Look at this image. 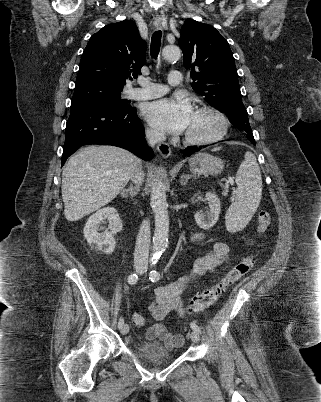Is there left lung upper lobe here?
<instances>
[{
	"label": "left lung upper lobe",
	"mask_w": 321,
	"mask_h": 402,
	"mask_svg": "<svg viewBox=\"0 0 321 402\" xmlns=\"http://www.w3.org/2000/svg\"><path fill=\"white\" fill-rule=\"evenodd\" d=\"M180 33L178 42L184 66L191 70L193 90L212 107L223 111L231 123L244 124L247 138L254 139L227 40L214 27L193 19L184 22Z\"/></svg>",
	"instance_id": "left-lung-upper-lobe-1"
}]
</instances>
